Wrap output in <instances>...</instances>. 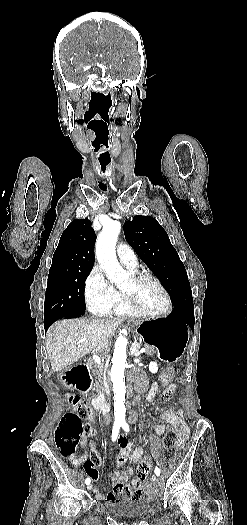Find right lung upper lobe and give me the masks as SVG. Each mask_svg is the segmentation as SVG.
<instances>
[{"mask_svg":"<svg viewBox=\"0 0 247 525\" xmlns=\"http://www.w3.org/2000/svg\"><path fill=\"white\" fill-rule=\"evenodd\" d=\"M95 238L87 218L73 220L61 235L50 271L92 270Z\"/></svg>","mask_w":247,"mask_h":525,"instance_id":"1","label":"right lung upper lobe"}]
</instances>
